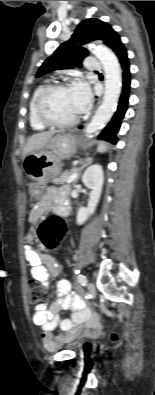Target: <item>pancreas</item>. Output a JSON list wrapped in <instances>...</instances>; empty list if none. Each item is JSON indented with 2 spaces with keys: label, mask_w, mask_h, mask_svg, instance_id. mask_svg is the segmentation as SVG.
<instances>
[{
  "label": "pancreas",
  "mask_w": 155,
  "mask_h": 395,
  "mask_svg": "<svg viewBox=\"0 0 155 395\" xmlns=\"http://www.w3.org/2000/svg\"><path fill=\"white\" fill-rule=\"evenodd\" d=\"M77 171L76 168H72L71 170H67L65 172H63L62 174H60L58 177H54L52 179V183L59 185V184H64L68 178Z\"/></svg>",
  "instance_id": "cf45deb5"
}]
</instances>
